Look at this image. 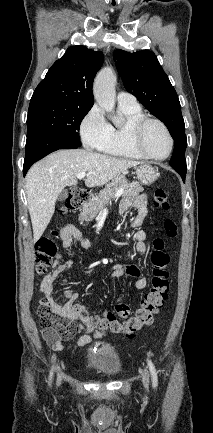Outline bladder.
Returning <instances> with one entry per match:
<instances>
[{
    "instance_id": "31cf9c89",
    "label": "bladder",
    "mask_w": 213,
    "mask_h": 433,
    "mask_svg": "<svg viewBox=\"0 0 213 433\" xmlns=\"http://www.w3.org/2000/svg\"><path fill=\"white\" fill-rule=\"evenodd\" d=\"M87 365L98 374L116 376L121 371V359L117 349L106 343L92 346L86 353Z\"/></svg>"
}]
</instances>
